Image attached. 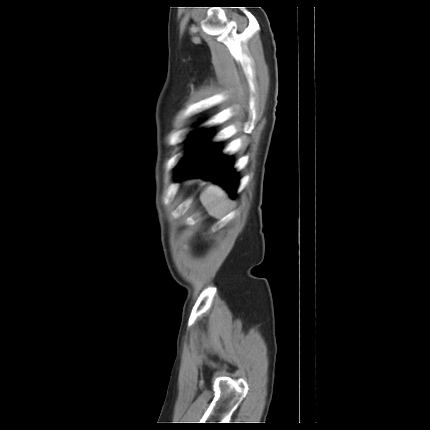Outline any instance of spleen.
<instances>
[{
    "instance_id": "3e777b00",
    "label": "spleen",
    "mask_w": 430,
    "mask_h": 430,
    "mask_svg": "<svg viewBox=\"0 0 430 430\" xmlns=\"http://www.w3.org/2000/svg\"><path fill=\"white\" fill-rule=\"evenodd\" d=\"M200 200L207 212L217 219L222 218L230 211V202L226 199V195L212 186L206 188L200 195Z\"/></svg>"
}]
</instances>
